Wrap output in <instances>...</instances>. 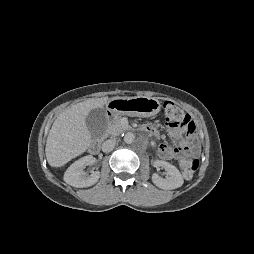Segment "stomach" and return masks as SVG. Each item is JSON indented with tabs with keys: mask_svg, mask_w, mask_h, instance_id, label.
Here are the masks:
<instances>
[{
	"mask_svg": "<svg viewBox=\"0 0 254 254\" xmlns=\"http://www.w3.org/2000/svg\"><path fill=\"white\" fill-rule=\"evenodd\" d=\"M160 109L161 102L154 97H114L107 103V110L112 117H150L159 113Z\"/></svg>",
	"mask_w": 254,
	"mask_h": 254,
	"instance_id": "stomach-1",
	"label": "stomach"
}]
</instances>
